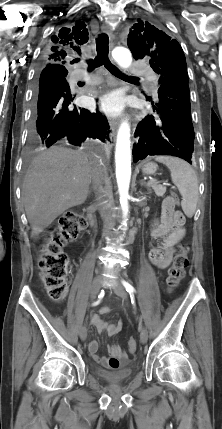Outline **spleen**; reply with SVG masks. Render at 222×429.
I'll use <instances>...</instances> for the list:
<instances>
[{
  "instance_id": "spleen-1",
  "label": "spleen",
  "mask_w": 222,
  "mask_h": 429,
  "mask_svg": "<svg viewBox=\"0 0 222 429\" xmlns=\"http://www.w3.org/2000/svg\"><path fill=\"white\" fill-rule=\"evenodd\" d=\"M155 160L167 166L172 182L177 186L181 196V206L185 215L191 218L199 198L198 179L193 168L184 160L172 156H156Z\"/></svg>"
}]
</instances>
